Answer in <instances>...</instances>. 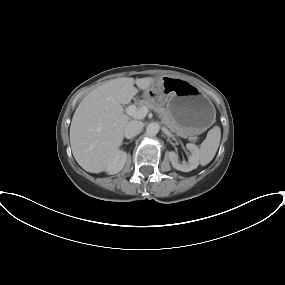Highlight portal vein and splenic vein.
Returning <instances> with one entry per match:
<instances>
[{
  "instance_id": "18ae733b",
  "label": "portal vein and splenic vein",
  "mask_w": 285,
  "mask_h": 285,
  "mask_svg": "<svg viewBox=\"0 0 285 285\" xmlns=\"http://www.w3.org/2000/svg\"><path fill=\"white\" fill-rule=\"evenodd\" d=\"M126 113L136 119H143L148 113L147 107L137 108L135 105H130L126 108Z\"/></svg>"
}]
</instances>
